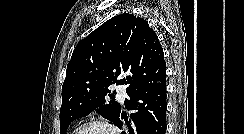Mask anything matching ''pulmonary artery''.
I'll return each instance as SVG.
<instances>
[{"label": "pulmonary artery", "mask_w": 244, "mask_h": 134, "mask_svg": "<svg viewBox=\"0 0 244 134\" xmlns=\"http://www.w3.org/2000/svg\"><path fill=\"white\" fill-rule=\"evenodd\" d=\"M119 99L123 102L126 97L125 87L123 85H117L115 87Z\"/></svg>", "instance_id": "pulmonary-artery-1"}]
</instances>
